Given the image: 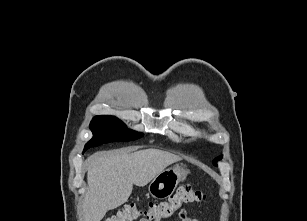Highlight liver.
<instances>
[{
	"mask_svg": "<svg viewBox=\"0 0 307 221\" xmlns=\"http://www.w3.org/2000/svg\"><path fill=\"white\" fill-rule=\"evenodd\" d=\"M180 160V157L158 149L93 154L88 159L84 221H101L108 210L127 202L133 184L147 185L167 166Z\"/></svg>",
	"mask_w": 307,
	"mask_h": 221,
	"instance_id": "1",
	"label": "liver"
}]
</instances>
